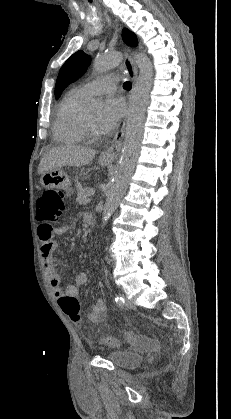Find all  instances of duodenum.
<instances>
[{"mask_svg":"<svg viewBox=\"0 0 231 419\" xmlns=\"http://www.w3.org/2000/svg\"><path fill=\"white\" fill-rule=\"evenodd\" d=\"M86 223L88 224V225H93L94 223H95V219H94V217L93 216H87V218H86Z\"/></svg>","mask_w":231,"mask_h":419,"instance_id":"duodenum-1","label":"duodenum"}]
</instances>
